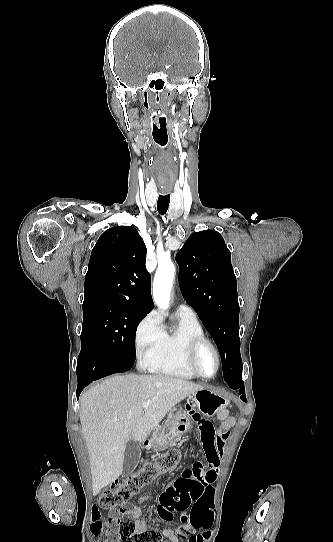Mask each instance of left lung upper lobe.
<instances>
[{
	"label": "left lung upper lobe",
	"instance_id": "5c2ea615",
	"mask_svg": "<svg viewBox=\"0 0 333 542\" xmlns=\"http://www.w3.org/2000/svg\"><path fill=\"white\" fill-rule=\"evenodd\" d=\"M176 261L182 295L218 347L224 380L242 375L237 281L224 239L211 230L192 233Z\"/></svg>",
	"mask_w": 333,
	"mask_h": 542
}]
</instances>
